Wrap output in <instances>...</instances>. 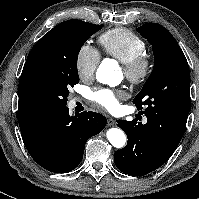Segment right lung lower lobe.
Masks as SVG:
<instances>
[{"instance_id": "right-lung-lower-lobe-1", "label": "right lung lower lobe", "mask_w": 199, "mask_h": 199, "mask_svg": "<svg viewBox=\"0 0 199 199\" xmlns=\"http://www.w3.org/2000/svg\"><path fill=\"white\" fill-rule=\"evenodd\" d=\"M106 118L96 112L70 116L64 107L50 113L23 142L36 163L44 169L66 173L75 169L83 158L87 140L100 133Z\"/></svg>"}]
</instances>
